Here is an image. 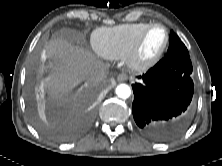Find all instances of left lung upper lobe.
<instances>
[{"mask_svg": "<svg viewBox=\"0 0 222 166\" xmlns=\"http://www.w3.org/2000/svg\"><path fill=\"white\" fill-rule=\"evenodd\" d=\"M171 55L189 56L186 46L173 31H171L169 36V48L167 51V56Z\"/></svg>", "mask_w": 222, "mask_h": 166, "instance_id": "left-lung-upper-lobe-1", "label": "left lung upper lobe"}]
</instances>
